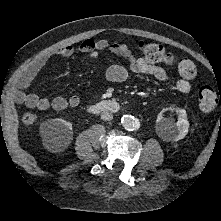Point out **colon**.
Returning a JSON list of instances; mask_svg holds the SVG:
<instances>
[{
	"mask_svg": "<svg viewBox=\"0 0 221 221\" xmlns=\"http://www.w3.org/2000/svg\"><path fill=\"white\" fill-rule=\"evenodd\" d=\"M139 48L148 62L176 66L179 75L185 79H193L197 76V66L191 59L176 57L158 43L140 42ZM218 102L217 93L212 87L200 88L199 107L202 112L214 110ZM38 119V113L31 110L25 111L21 115V123L25 128H33L38 123Z\"/></svg>",
	"mask_w": 221,
	"mask_h": 221,
	"instance_id": "5ec220e1",
	"label": "colon"
}]
</instances>
